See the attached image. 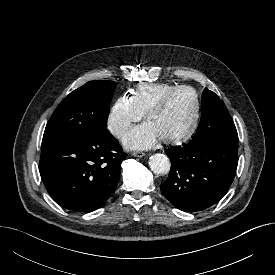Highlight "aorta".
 Returning a JSON list of instances; mask_svg holds the SVG:
<instances>
[{
    "mask_svg": "<svg viewBox=\"0 0 275 275\" xmlns=\"http://www.w3.org/2000/svg\"><path fill=\"white\" fill-rule=\"evenodd\" d=\"M170 160L164 154H154L149 158V167L151 171L158 175L167 174L170 170Z\"/></svg>",
    "mask_w": 275,
    "mask_h": 275,
    "instance_id": "762f6f07",
    "label": "aorta"
}]
</instances>
